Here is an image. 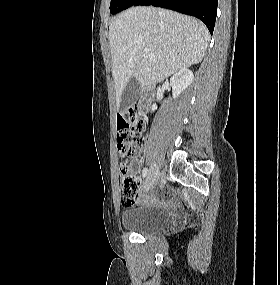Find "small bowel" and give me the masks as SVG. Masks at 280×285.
Masks as SVG:
<instances>
[{
  "label": "small bowel",
  "mask_w": 280,
  "mask_h": 285,
  "mask_svg": "<svg viewBox=\"0 0 280 285\" xmlns=\"http://www.w3.org/2000/svg\"><path fill=\"white\" fill-rule=\"evenodd\" d=\"M137 165H140V161H137L136 163ZM136 179H138V177H136ZM160 192H163L164 189L163 188H160L159 189ZM140 197L141 198H146L150 203L152 204H158V203H161V198L159 195L157 194H148V195H145L143 191L140 192Z\"/></svg>",
  "instance_id": "1"
}]
</instances>
